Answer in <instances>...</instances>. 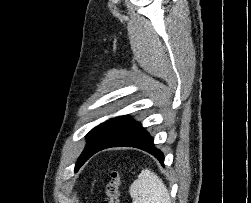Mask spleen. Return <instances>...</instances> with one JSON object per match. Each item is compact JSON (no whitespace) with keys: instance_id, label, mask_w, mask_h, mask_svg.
Returning a JSON list of instances; mask_svg holds the SVG:
<instances>
[{"instance_id":"3e777b00","label":"spleen","mask_w":251,"mask_h":203,"mask_svg":"<svg viewBox=\"0 0 251 203\" xmlns=\"http://www.w3.org/2000/svg\"><path fill=\"white\" fill-rule=\"evenodd\" d=\"M129 191L133 203H171L162 179L149 169L141 171Z\"/></svg>"}]
</instances>
